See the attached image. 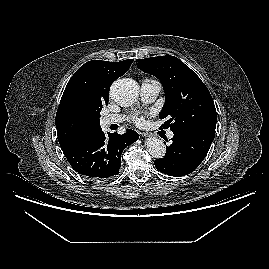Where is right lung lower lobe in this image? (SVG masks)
<instances>
[{"instance_id": "right-lung-lower-lobe-1", "label": "right lung lower lobe", "mask_w": 269, "mask_h": 269, "mask_svg": "<svg viewBox=\"0 0 269 269\" xmlns=\"http://www.w3.org/2000/svg\"><path fill=\"white\" fill-rule=\"evenodd\" d=\"M136 131L127 129L123 135L105 133L101 127L60 145L73 169L90 179H107L119 173L121 154L138 139Z\"/></svg>"}]
</instances>
